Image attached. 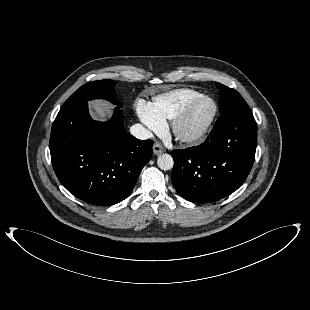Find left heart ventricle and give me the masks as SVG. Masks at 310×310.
<instances>
[{
  "label": "left heart ventricle",
  "mask_w": 310,
  "mask_h": 310,
  "mask_svg": "<svg viewBox=\"0 0 310 310\" xmlns=\"http://www.w3.org/2000/svg\"><path fill=\"white\" fill-rule=\"evenodd\" d=\"M212 111L209 101H202L195 105L182 126L183 132L190 134L197 131L206 121Z\"/></svg>",
  "instance_id": "left-heart-ventricle-1"
}]
</instances>
